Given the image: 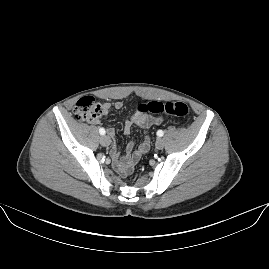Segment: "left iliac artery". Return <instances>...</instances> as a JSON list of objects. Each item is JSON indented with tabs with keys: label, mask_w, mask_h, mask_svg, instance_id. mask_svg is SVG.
I'll use <instances>...</instances> for the list:
<instances>
[{
	"label": "left iliac artery",
	"mask_w": 269,
	"mask_h": 269,
	"mask_svg": "<svg viewBox=\"0 0 269 269\" xmlns=\"http://www.w3.org/2000/svg\"><path fill=\"white\" fill-rule=\"evenodd\" d=\"M157 135H158L159 137H162V136L164 135V132H163L162 130H158V131H157Z\"/></svg>",
	"instance_id": "1"
}]
</instances>
